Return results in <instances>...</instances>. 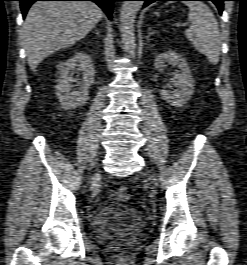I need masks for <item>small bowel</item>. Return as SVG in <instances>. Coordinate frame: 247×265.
<instances>
[{"label":"small bowel","mask_w":247,"mask_h":265,"mask_svg":"<svg viewBox=\"0 0 247 265\" xmlns=\"http://www.w3.org/2000/svg\"><path fill=\"white\" fill-rule=\"evenodd\" d=\"M111 195H112L113 197H115V198H118V199L122 198V197H121L118 193H116V192H112ZM125 198H128V196L125 197Z\"/></svg>","instance_id":"c3829d8e"}]
</instances>
